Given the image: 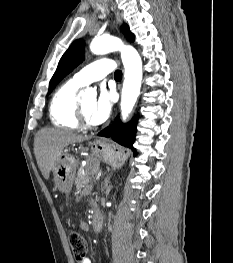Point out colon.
<instances>
[{
    "instance_id": "obj_1",
    "label": "colon",
    "mask_w": 233,
    "mask_h": 263,
    "mask_svg": "<svg viewBox=\"0 0 233 263\" xmlns=\"http://www.w3.org/2000/svg\"><path fill=\"white\" fill-rule=\"evenodd\" d=\"M69 243L75 260L81 261L87 253V242L84 236L77 231H70L68 234Z\"/></svg>"
}]
</instances>
